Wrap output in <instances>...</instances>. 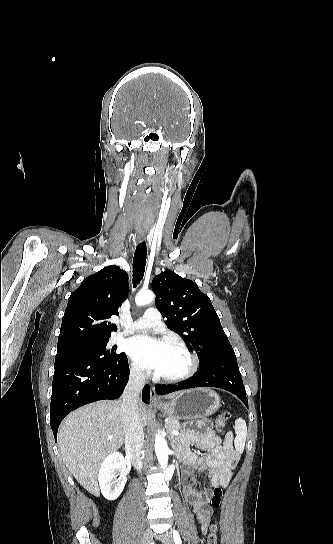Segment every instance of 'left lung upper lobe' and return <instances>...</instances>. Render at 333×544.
Segmentation results:
<instances>
[{
    "label": "left lung upper lobe",
    "instance_id": "obj_1",
    "mask_svg": "<svg viewBox=\"0 0 333 544\" xmlns=\"http://www.w3.org/2000/svg\"><path fill=\"white\" fill-rule=\"evenodd\" d=\"M152 289L167 327L193 346L200 366L214 359H236L209 297L196 283L165 270L153 279Z\"/></svg>",
    "mask_w": 333,
    "mask_h": 544
}]
</instances>
